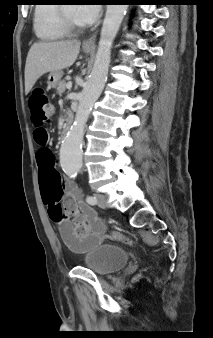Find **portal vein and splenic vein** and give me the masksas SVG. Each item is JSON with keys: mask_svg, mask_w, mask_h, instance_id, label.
Masks as SVG:
<instances>
[{"mask_svg": "<svg viewBox=\"0 0 213 338\" xmlns=\"http://www.w3.org/2000/svg\"><path fill=\"white\" fill-rule=\"evenodd\" d=\"M66 88L67 89H71L72 88V82L69 81L67 84H66Z\"/></svg>", "mask_w": 213, "mask_h": 338, "instance_id": "obj_1", "label": "portal vein and splenic vein"}]
</instances>
